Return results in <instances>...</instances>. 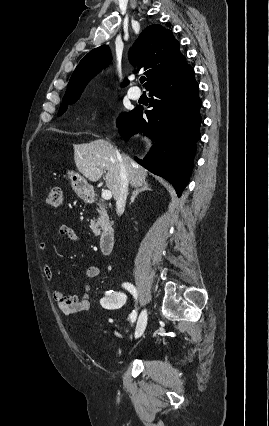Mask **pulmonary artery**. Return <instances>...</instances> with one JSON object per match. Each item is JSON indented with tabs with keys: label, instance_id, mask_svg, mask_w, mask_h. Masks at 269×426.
<instances>
[{
	"label": "pulmonary artery",
	"instance_id": "e3ab8cb5",
	"mask_svg": "<svg viewBox=\"0 0 269 426\" xmlns=\"http://www.w3.org/2000/svg\"><path fill=\"white\" fill-rule=\"evenodd\" d=\"M128 96L132 100H138L141 97V91L137 87H132L128 90Z\"/></svg>",
	"mask_w": 269,
	"mask_h": 426
}]
</instances>
